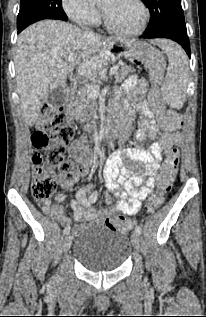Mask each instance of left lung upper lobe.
Masks as SVG:
<instances>
[{"instance_id": "obj_1", "label": "left lung upper lobe", "mask_w": 206, "mask_h": 317, "mask_svg": "<svg viewBox=\"0 0 206 317\" xmlns=\"http://www.w3.org/2000/svg\"><path fill=\"white\" fill-rule=\"evenodd\" d=\"M150 10L151 20L146 33L165 28L186 30L181 0H141Z\"/></svg>"}]
</instances>
